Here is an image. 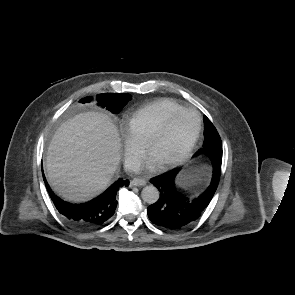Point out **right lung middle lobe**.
Instances as JSON below:
<instances>
[{"label":"right lung middle lobe","instance_id":"right-lung-middle-lobe-1","mask_svg":"<svg viewBox=\"0 0 295 295\" xmlns=\"http://www.w3.org/2000/svg\"><path fill=\"white\" fill-rule=\"evenodd\" d=\"M98 103L102 107H106L112 113H119L121 109L132 99L129 94L104 93L96 96ZM91 97L80 100L81 103L90 102Z\"/></svg>","mask_w":295,"mask_h":295}]
</instances>
